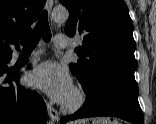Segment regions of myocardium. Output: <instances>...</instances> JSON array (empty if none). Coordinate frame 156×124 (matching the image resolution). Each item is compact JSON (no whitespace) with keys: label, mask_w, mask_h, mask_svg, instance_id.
Here are the masks:
<instances>
[{"label":"myocardium","mask_w":156,"mask_h":124,"mask_svg":"<svg viewBox=\"0 0 156 124\" xmlns=\"http://www.w3.org/2000/svg\"><path fill=\"white\" fill-rule=\"evenodd\" d=\"M74 100L72 102H64L61 106L66 113L72 114L81 110L87 103L88 96L86 91L79 85L73 87Z\"/></svg>","instance_id":"obj_1"}]
</instances>
